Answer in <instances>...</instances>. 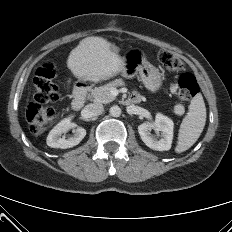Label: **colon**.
Listing matches in <instances>:
<instances>
[{"label": "colon", "mask_w": 232, "mask_h": 232, "mask_svg": "<svg viewBox=\"0 0 232 232\" xmlns=\"http://www.w3.org/2000/svg\"><path fill=\"white\" fill-rule=\"evenodd\" d=\"M157 59L160 67L169 73L179 72L184 66L183 61L169 50H159ZM54 76L52 67L47 64L36 72L34 99L26 110V119L34 134L43 132L54 119V110L48 106L49 103L57 102L60 98ZM198 91L199 86L195 76L191 73H182L178 79V98L183 101L191 100Z\"/></svg>", "instance_id": "5ec220e1"}]
</instances>
